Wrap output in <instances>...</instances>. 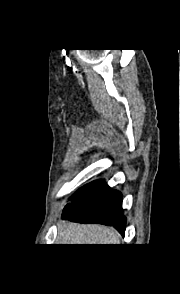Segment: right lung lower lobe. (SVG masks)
Wrapping results in <instances>:
<instances>
[{
    "label": "right lung lower lobe",
    "mask_w": 180,
    "mask_h": 294,
    "mask_svg": "<svg viewBox=\"0 0 180 294\" xmlns=\"http://www.w3.org/2000/svg\"><path fill=\"white\" fill-rule=\"evenodd\" d=\"M63 219L80 223H100L115 227L124 236L126 218L122 214V195L97 180L79 189L63 210Z\"/></svg>",
    "instance_id": "obj_1"
}]
</instances>
